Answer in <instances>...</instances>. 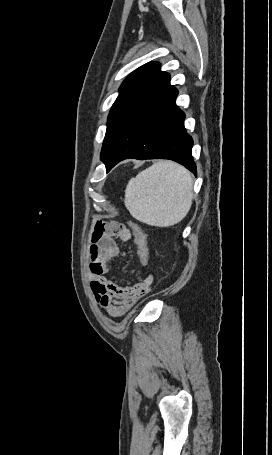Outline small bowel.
<instances>
[{
	"instance_id": "obj_1",
	"label": "small bowel",
	"mask_w": 272,
	"mask_h": 455,
	"mask_svg": "<svg viewBox=\"0 0 272 455\" xmlns=\"http://www.w3.org/2000/svg\"><path fill=\"white\" fill-rule=\"evenodd\" d=\"M114 238L127 242L131 234L118 223H96L90 246L91 285L99 305L111 317L124 315L137 301L149 293L154 281L152 274L132 285L121 286L110 279V265L120 255Z\"/></svg>"
}]
</instances>
